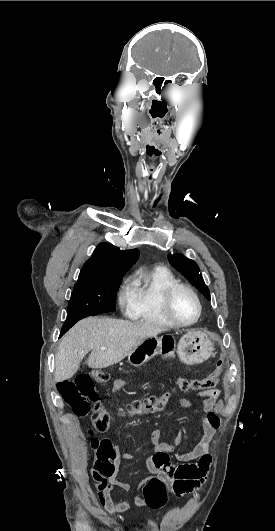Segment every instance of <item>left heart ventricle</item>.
<instances>
[{
  "label": "left heart ventricle",
  "instance_id": "obj_1",
  "mask_svg": "<svg viewBox=\"0 0 275 531\" xmlns=\"http://www.w3.org/2000/svg\"><path fill=\"white\" fill-rule=\"evenodd\" d=\"M174 316L181 322H190L195 319L198 308L194 298L184 290H178L171 301Z\"/></svg>",
  "mask_w": 275,
  "mask_h": 531
}]
</instances>
